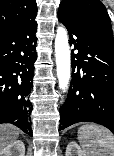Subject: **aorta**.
Here are the masks:
<instances>
[{
  "instance_id": "1",
  "label": "aorta",
  "mask_w": 114,
  "mask_h": 156,
  "mask_svg": "<svg viewBox=\"0 0 114 156\" xmlns=\"http://www.w3.org/2000/svg\"><path fill=\"white\" fill-rule=\"evenodd\" d=\"M55 57L59 88L65 91L71 76L68 34L63 26L58 27L55 38Z\"/></svg>"
}]
</instances>
